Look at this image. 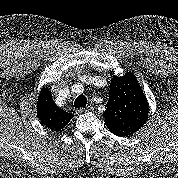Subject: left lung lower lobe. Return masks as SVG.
Returning <instances> with one entry per match:
<instances>
[{
	"label": "left lung lower lobe",
	"mask_w": 178,
	"mask_h": 178,
	"mask_svg": "<svg viewBox=\"0 0 178 178\" xmlns=\"http://www.w3.org/2000/svg\"><path fill=\"white\" fill-rule=\"evenodd\" d=\"M113 134L117 135V136H121V137H125V136H130V133L124 132L122 130L119 129H115V128H108Z\"/></svg>",
	"instance_id": "obj_1"
}]
</instances>
